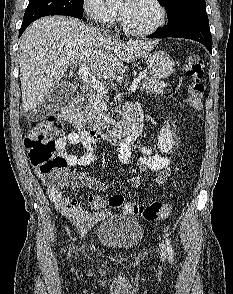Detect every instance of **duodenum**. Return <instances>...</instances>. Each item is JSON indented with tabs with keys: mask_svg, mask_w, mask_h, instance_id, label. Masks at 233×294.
<instances>
[{
	"mask_svg": "<svg viewBox=\"0 0 233 294\" xmlns=\"http://www.w3.org/2000/svg\"><path fill=\"white\" fill-rule=\"evenodd\" d=\"M63 116L78 131H85L90 139L103 140L113 145L132 143L139 133L137 112L132 106L126 107L122 121L110 131L86 130L77 102L69 103Z\"/></svg>",
	"mask_w": 233,
	"mask_h": 294,
	"instance_id": "1",
	"label": "duodenum"
}]
</instances>
